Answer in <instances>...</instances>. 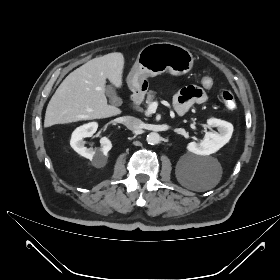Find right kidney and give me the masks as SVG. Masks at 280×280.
<instances>
[{
    "label": "right kidney",
    "instance_id": "1",
    "mask_svg": "<svg viewBox=\"0 0 280 280\" xmlns=\"http://www.w3.org/2000/svg\"><path fill=\"white\" fill-rule=\"evenodd\" d=\"M98 128L96 122L84 124L74 130L71 136L70 145L81 156L93 160L95 166H103L107 160V153L112 148V143L107 137L100 139L101 148L93 149L84 146V138L91 137Z\"/></svg>",
    "mask_w": 280,
    "mask_h": 280
}]
</instances>
